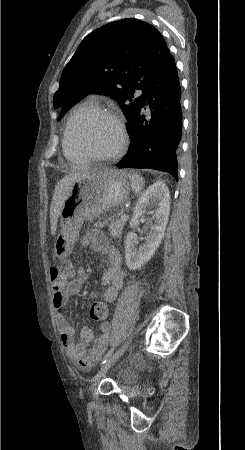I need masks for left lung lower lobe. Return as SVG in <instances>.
I'll list each match as a JSON object with an SVG mask.
<instances>
[{
  "label": "left lung lower lobe",
  "instance_id": "obj_1",
  "mask_svg": "<svg viewBox=\"0 0 245 450\" xmlns=\"http://www.w3.org/2000/svg\"><path fill=\"white\" fill-rule=\"evenodd\" d=\"M148 104L151 114L142 107ZM128 134V153L118 168H149L170 173L177 180V154L182 133L181 87L173 56L153 79Z\"/></svg>",
  "mask_w": 245,
  "mask_h": 450
}]
</instances>
